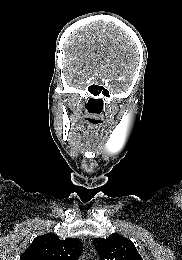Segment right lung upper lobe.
Wrapping results in <instances>:
<instances>
[{
    "mask_svg": "<svg viewBox=\"0 0 182 260\" xmlns=\"http://www.w3.org/2000/svg\"><path fill=\"white\" fill-rule=\"evenodd\" d=\"M82 250L79 240H60L57 235L48 233L36 237L20 260H78Z\"/></svg>",
    "mask_w": 182,
    "mask_h": 260,
    "instance_id": "1",
    "label": "right lung upper lobe"
}]
</instances>
